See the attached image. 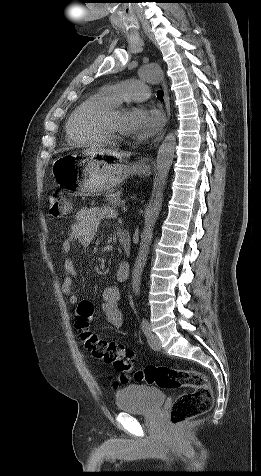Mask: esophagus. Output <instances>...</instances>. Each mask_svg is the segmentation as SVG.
<instances>
[{
	"mask_svg": "<svg viewBox=\"0 0 261 476\" xmlns=\"http://www.w3.org/2000/svg\"><path fill=\"white\" fill-rule=\"evenodd\" d=\"M163 90H164V101H165V108L167 112V121L169 120L170 117V101H169V95H168V90L165 82L162 84ZM165 133V130L157 137L155 140L154 146L157 145L163 138Z\"/></svg>",
	"mask_w": 261,
	"mask_h": 476,
	"instance_id": "obj_1",
	"label": "esophagus"
}]
</instances>
